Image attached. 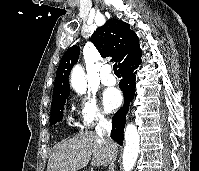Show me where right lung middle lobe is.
Wrapping results in <instances>:
<instances>
[{
    "label": "right lung middle lobe",
    "instance_id": "obj_1",
    "mask_svg": "<svg viewBox=\"0 0 199 171\" xmlns=\"http://www.w3.org/2000/svg\"><path fill=\"white\" fill-rule=\"evenodd\" d=\"M65 101L66 98L51 104V124H55L63 119V109Z\"/></svg>",
    "mask_w": 199,
    "mask_h": 171
}]
</instances>
